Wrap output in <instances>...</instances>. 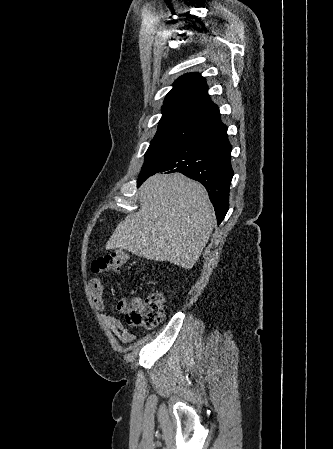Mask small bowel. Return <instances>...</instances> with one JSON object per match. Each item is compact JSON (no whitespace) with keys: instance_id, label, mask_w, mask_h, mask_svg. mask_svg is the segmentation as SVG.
<instances>
[{"instance_id":"small-bowel-1","label":"small bowel","mask_w":333,"mask_h":449,"mask_svg":"<svg viewBox=\"0 0 333 449\" xmlns=\"http://www.w3.org/2000/svg\"><path fill=\"white\" fill-rule=\"evenodd\" d=\"M90 291L96 308L100 311L101 319L109 327L114 336L122 343L132 342L135 338L134 334L129 332L119 319L106 311V303L103 298V281L99 276H94L89 280ZM138 298L128 300L125 297L119 299L116 309L119 312H125Z\"/></svg>"}]
</instances>
